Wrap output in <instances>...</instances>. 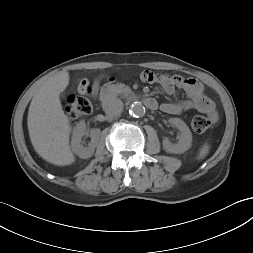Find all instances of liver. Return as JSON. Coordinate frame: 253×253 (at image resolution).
I'll return each instance as SVG.
<instances>
[{
	"label": "liver",
	"mask_w": 253,
	"mask_h": 253,
	"mask_svg": "<svg viewBox=\"0 0 253 253\" xmlns=\"http://www.w3.org/2000/svg\"><path fill=\"white\" fill-rule=\"evenodd\" d=\"M69 84V73L51 76L36 91L28 111L31 143L40 157L58 166L75 161L69 146L71 126L64 114L59 95Z\"/></svg>",
	"instance_id": "1"
}]
</instances>
